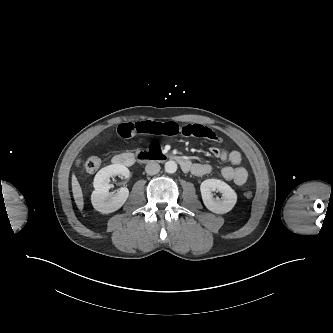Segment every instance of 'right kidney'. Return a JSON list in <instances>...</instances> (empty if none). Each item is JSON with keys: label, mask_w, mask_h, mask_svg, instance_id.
Here are the masks:
<instances>
[{"label": "right kidney", "mask_w": 333, "mask_h": 333, "mask_svg": "<svg viewBox=\"0 0 333 333\" xmlns=\"http://www.w3.org/2000/svg\"><path fill=\"white\" fill-rule=\"evenodd\" d=\"M122 175L129 177L130 172L122 164H113L102 168L95 175L93 186L94 191L91 195V202L95 210L108 214L121 208L129 196V190L126 187L121 188L116 194L110 193V177Z\"/></svg>", "instance_id": "right-kidney-1"}]
</instances>
